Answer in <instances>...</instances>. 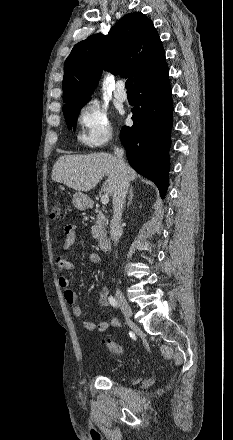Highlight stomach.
<instances>
[{"mask_svg":"<svg viewBox=\"0 0 233 440\" xmlns=\"http://www.w3.org/2000/svg\"><path fill=\"white\" fill-rule=\"evenodd\" d=\"M72 204L78 210H85L90 207L91 202L86 194L82 192H76L73 195Z\"/></svg>","mask_w":233,"mask_h":440,"instance_id":"0dacf381","label":"stomach"}]
</instances>
